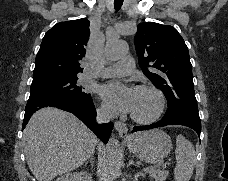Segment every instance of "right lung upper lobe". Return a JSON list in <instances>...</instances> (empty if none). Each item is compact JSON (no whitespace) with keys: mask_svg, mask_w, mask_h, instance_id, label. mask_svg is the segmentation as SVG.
Wrapping results in <instances>:
<instances>
[{"mask_svg":"<svg viewBox=\"0 0 228 181\" xmlns=\"http://www.w3.org/2000/svg\"><path fill=\"white\" fill-rule=\"evenodd\" d=\"M90 21L86 18L59 22L44 36L35 59L33 78L71 75L83 71L90 36Z\"/></svg>","mask_w":228,"mask_h":181,"instance_id":"1","label":"right lung upper lobe"}]
</instances>
